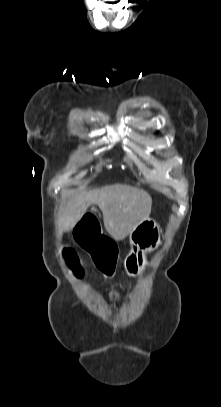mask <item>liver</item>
<instances>
[{
	"label": "liver",
	"instance_id": "obj_1",
	"mask_svg": "<svg viewBox=\"0 0 221 407\" xmlns=\"http://www.w3.org/2000/svg\"><path fill=\"white\" fill-rule=\"evenodd\" d=\"M92 204L102 211L108 234L115 241H121L148 219L152 198L143 190L123 184L83 192L68 204L66 224L73 228Z\"/></svg>",
	"mask_w": 221,
	"mask_h": 407
}]
</instances>
